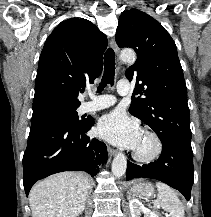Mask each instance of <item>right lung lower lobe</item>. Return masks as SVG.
<instances>
[{
	"label": "right lung lower lobe",
	"mask_w": 211,
	"mask_h": 217,
	"mask_svg": "<svg viewBox=\"0 0 211 217\" xmlns=\"http://www.w3.org/2000/svg\"><path fill=\"white\" fill-rule=\"evenodd\" d=\"M93 118L79 126L57 123L32 124L23 156V184L26 195L40 179L63 171L81 170L95 176L98 165L107 160L106 145L85 135Z\"/></svg>",
	"instance_id": "right-lung-lower-lobe-1"
}]
</instances>
